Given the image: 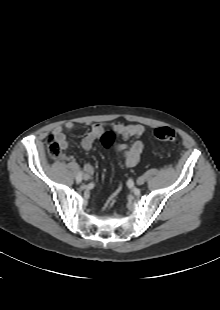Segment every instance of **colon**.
Wrapping results in <instances>:
<instances>
[{
    "label": "colon",
    "instance_id": "colon-1",
    "mask_svg": "<svg viewBox=\"0 0 220 310\" xmlns=\"http://www.w3.org/2000/svg\"><path fill=\"white\" fill-rule=\"evenodd\" d=\"M152 137L167 143H174L176 141V133L170 127H158L152 132ZM117 138V132L114 130L104 132L100 137L101 144L105 148H110ZM47 151L50 158L59 160L63 156L62 145L51 136L47 142Z\"/></svg>",
    "mask_w": 220,
    "mask_h": 310
}]
</instances>
